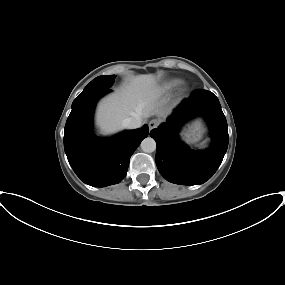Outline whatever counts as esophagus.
<instances>
[{
    "label": "esophagus",
    "mask_w": 285,
    "mask_h": 285,
    "mask_svg": "<svg viewBox=\"0 0 285 285\" xmlns=\"http://www.w3.org/2000/svg\"><path fill=\"white\" fill-rule=\"evenodd\" d=\"M158 125H159V120H157V119L151 120L148 124L150 130L157 128Z\"/></svg>",
    "instance_id": "obj_1"
}]
</instances>
